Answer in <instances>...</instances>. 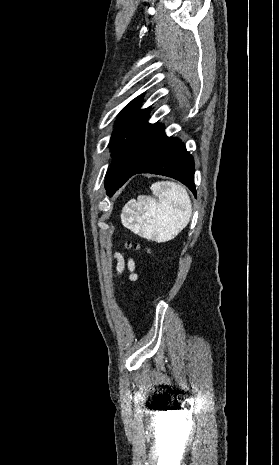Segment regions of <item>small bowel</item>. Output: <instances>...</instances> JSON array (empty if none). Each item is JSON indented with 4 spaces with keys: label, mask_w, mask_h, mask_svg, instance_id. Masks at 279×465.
I'll use <instances>...</instances> for the list:
<instances>
[{
    "label": "small bowel",
    "mask_w": 279,
    "mask_h": 465,
    "mask_svg": "<svg viewBox=\"0 0 279 465\" xmlns=\"http://www.w3.org/2000/svg\"><path fill=\"white\" fill-rule=\"evenodd\" d=\"M114 258L116 260L117 273L120 274L125 268H127L129 271V279L131 281H135L137 279V274L135 273V261L132 258L125 260L120 253H116Z\"/></svg>",
    "instance_id": "obj_1"
}]
</instances>
